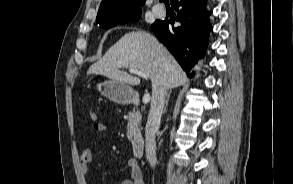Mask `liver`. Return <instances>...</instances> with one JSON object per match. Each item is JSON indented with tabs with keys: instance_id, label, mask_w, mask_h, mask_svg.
<instances>
[{
	"instance_id": "1",
	"label": "liver",
	"mask_w": 293,
	"mask_h": 184,
	"mask_svg": "<svg viewBox=\"0 0 293 184\" xmlns=\"http://www.w3.org/2000/svg\"><path fill=\"white\" fill-rule=\"evenodd\" d=\"M121 68H133L145 73L152 82V96L161 87L173 89L187 81L185 72L169 51L145 31L126 33L89 67L87 74L103 75L131 85L140 84L139 78Z\"/></svg>"
}]
</instances>
